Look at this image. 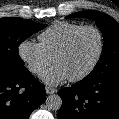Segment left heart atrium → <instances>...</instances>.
<instances>
[{"instance_id": "obj_1", "label": "left heart atrium", "mask_w": 119, "mask_h": 119, "mask_svg": "<svg viewBox=\"0 0 119 119\" xmlns=\"http://www.w3.org/2000/svg\"><path fill=\"white\" fill-rule=\"evenodd\" d=\"M42 79L50 85H58L69 79V77L61 67L54 65L43 73Z\"/></svg>"}]
</instances>
